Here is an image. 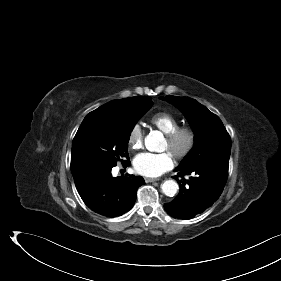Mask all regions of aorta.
Masks as SVG:
<instances>
[{
	"label": "aorta",
	"instance_id": "obj_1",
	"mask_svg": "<svg viewBox=\"0 0 281 281\" xmlns=\"http://www.w3.org/2000/svg\"><path fill=\"white\" fill-rule=\"evenodd\" d=\"M162 140H163V135L161 132L152 131L145 138V147L149 151H156ZM161 189L166 196L172 197L177 193L179 187L174 180H166L161 185Z\"/></svg>",
	"mask_w": 281,
	"mask_h": 281
}]
</instances>
